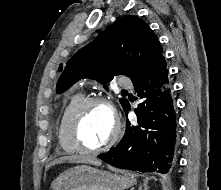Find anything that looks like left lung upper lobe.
Masks as SVG:
<instances>
[{
  "instance_id": "5c2ea615",
  "label": "left lung upper lobe",
  "mask_w": 221,
  "mask_h": 190,
  "mask_svg": "<svg viewBox=\"0 0 221 190\" xmlns=\"http://www.w3.org/2000/svg\"><path fill=\"white\" fill-rule=\"evenodd\" d=\"M127 51L132 58L125 56ZM161 57V44L148 24L137 16H125L73 55L57 82V93L85 77L106 84L114 76L125 75L134 82ZM119 101L124 109L129 103L126 98Z\"/></svg>"
}]
</instances>
